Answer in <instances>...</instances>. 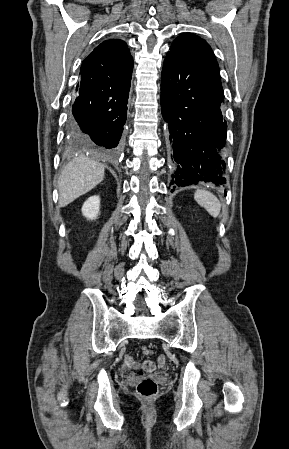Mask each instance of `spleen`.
Instances as JSON below:
<instances>
[{"mask_svg": "<svg viewBox=\"0 0 289 449\" xmlns=\"http://www.w3.org/2000/svg\"><path fill=\"white\" fill-rule=\"evenodd\" d=\"M196 202L204 207L207 212L214 218L221 216V204L218 198L211 192L206 190H197L194 193Z\"/></svg>", "mask_w": 289, "mask_h": 449, "instance_id": "spleen-1", "label": "spleen"}]
</instances>
